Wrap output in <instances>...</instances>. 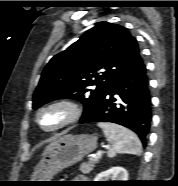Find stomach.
Segmentation results:
<instances>
[{
    "instance_id": "obj_1",
    "label": "stomach",
    "mask_w": 178,
    "mask_h": 186,
    "mask_svg": "<svg viewBox=\"0 0 178 186\" xmlns=\"http://www.w3.org/2000/svg\"><path fill=\"white\" fill-rule=\"evenodd\" d=\"M96 148L94 135H64L37 164L30 181H51L57 173L79 162Z\"/></svg>"
}]
</instances>
